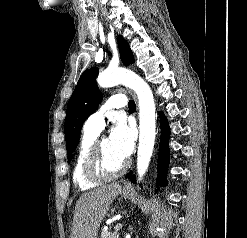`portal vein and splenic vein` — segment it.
I'll use <instances>...</instances> for the list:
<instances>
[{
  "mask_svg": "<svg viewBox=\"0 0 247 238\" xmlns=\"http://www.w3.org/2000/svg\"><path fill=\"white\" fill-rule=\"evenodd\" d=\"M122 227V224H117L115 227H114V230L116 232H118L120 230V228Z\"/></svg>",
  "mask_w": 247,
  "mask_h": 238,
  "instance_id": "1",
  "label": "portal vein and splenic vein"
}]
</instances>
